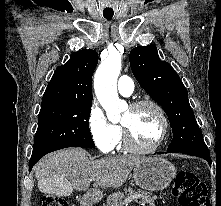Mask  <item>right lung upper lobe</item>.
<instances>
[{"label": "right lung upper lobe", "mask_w": 221, "mask_h": 206, "mask_svg": "<svg viewBox=\"0 0 221 206\" xmlns=\"http://www.w3.org/2000/svg\"><path fill=\"white\" fill-rule=\"evenodd\" d=\"M98 63L94 50L71 54L69 61L56 68L44 92L41 109L92 104V75Z\"/></svg>", "instance_id": "cb5924a9"}]
</instances>
